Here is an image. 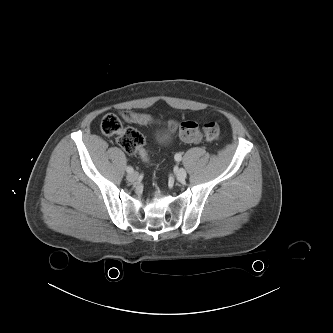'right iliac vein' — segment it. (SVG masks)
I'll return each instance as SVG.
<instances>
[{"mask_svg":"<svg viewBox=\"0 0 333 333\" xmlns=\"http://www.w3.org/2000/svg\"><path fill=\"white\" fill-rule=\"evenodd\" d=\"M127 180L129 182H134L137 180L138 178V174L136 172H132V173H129L127 176H126Z\"/></svg>","mask_w":333,"mask_h":333,"instance_id":"right-iliac-vein-1","label":"right iliac vein"}]
</instances>
